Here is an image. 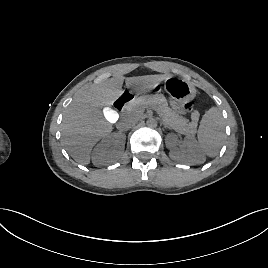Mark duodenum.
Segmentation results:
<instances>
[{"instance_id":"1","label":"duodenum","mask_w":268,"mask_h":268,"mask_svg":"<svg viewBox=\"0 0 268 268\" xmlns=\"http://www.w3.org/2000/svg\"><path fill=\"white\" fill-rule=\"evenodd\" d=\"M133 98V94L130 92H124L122 93L114 103V106L117 110H122L125 105Z\"/></svg>"}]
</instances>
